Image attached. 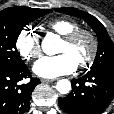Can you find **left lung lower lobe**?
<instances>
[{
  "label": "left lung lower lobe",
  "instance_id": "1",
  "mask_svg": "<svg viewBox=\"0 0 114 114\" xmlns=\"http://www.w3.org/2000/svg\"><path fill=\"white\" fill-rule=\"evenodd\" d=\"M72 91L59 98V106L68 114H101L114 97V69L88 71L71 81Z\"/></svg>",
  "mask_w": 114,
  "mask_h": 114
}]
</instances>
